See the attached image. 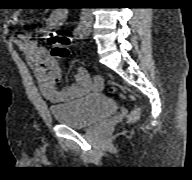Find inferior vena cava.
<instances>
[{"label": "inferior vena cava", "instance_id": "inferior-vena-cava-1", "mask_svg": "<svg viewBox=\"0 0 192 180\" xmlns=\"http://www.w3.org/2000/svg\"><path fill=\"white\" fill-rule=\"evenodd\" d=\"M83 17H91V12L89 11V9H84L82 12Z\"/></svg>", "mask_w": 192, "mask_h": 180}]
</instances>
